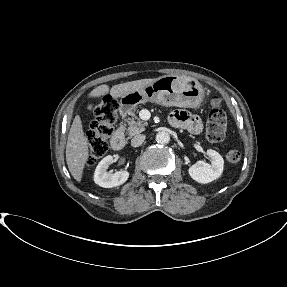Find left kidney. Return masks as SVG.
<instances>
[{
	"label": "left kidney",
	"mask_w": 287,
	"mask_h": 287,
	"mask_svg": "<svg viewBox=\"0 0 287 287\" xmlns=\"http://www.w3.org/2000/svg\"><path fill=\"white\" fill-rule=\"evenodd\" d=\"M206 153L211 158V164L198 161L188 170L191 178L202 184L212 182L219 178L224 166V160L217 151L208 149Z\"/></svg>",
	"instance_id": "5707ae66"
}]
</instances>
